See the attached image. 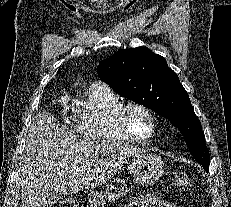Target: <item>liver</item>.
Segmentation results:
<instances>
[{
  "instance_id": "obj_1",
  "label": "liver",
  "mask_w": 231,
  "mask_h": 207,
  "mask_svg": "<svg viewBox=\"0 0 231 207\" xmlns=\"http://www.w3.org/2000/svg\"><path fill=\"white\" fill-rule=\"evenodd\" d=\"M139 150L79 139L50 113H39L32 119L20 160L21 207H46L54 192L72 195L102 186Z\"/></svg>"
}]
</instances>
